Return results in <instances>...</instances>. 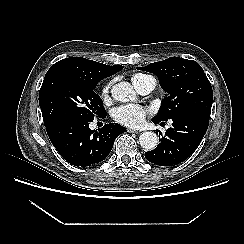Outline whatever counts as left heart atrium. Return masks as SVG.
I'll return each mask as SVG.
<instances>
[{
    "instance_id": "1",
    "label": "left heart atrium",
    "mask_w": 244,
    "mask_h": 244,
    "mask_svg": "<svg viewBox=\"0 0 244 244\" xmlns=\"http://www.w3.org/2000/svg\"><path fill=\"white\" fill-rule=\"evenodd\" d=\"M147 110L138 105H122L113 111V118L116 122L128 127H139L143 124Z\"/></svg>"
}]
</instances>
